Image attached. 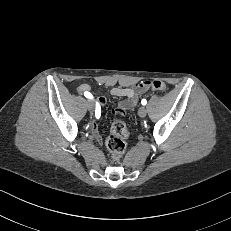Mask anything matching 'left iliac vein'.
I'll return each instance as SVG.
<instances>
[{
	"label": "left iliac vein",
	"instance_id": "left-iliac-vein-1",
	"mask_svg": "<svg viewBox=\"0 0 231 231\" xmlns=\"http://www.w3.org/2000/svg\"><path fill=\"white\" fill-rule=\"evenodd\" d=\"M147 114V110L145 107H140L139 110H138V115L143 118L145 117Z\"/></svg>",
	"mask_w": 231,
	"mask_h": 231
}]
</instances>
